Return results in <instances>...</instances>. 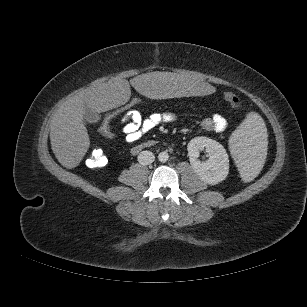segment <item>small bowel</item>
<instances>
[{
  "instance_id": "c3829d8e",
  "label": "small bowel",
  "mask_w": 307,
  "mask_h": 307,
  "mask_svg": "<svg viewBox=\"0 0 307 307\" xmlns=\"http://www.w3.org/2000/svg\"><path fill=\"white\" fill-rule=\"evenodd\" d=\"M176 120V115L171 112H156L144 117L140 111L133 110L120 122V129L126 142L133 143L160 126L172 124ZM227 125V120L220 114L201 122L202 128L209 132H223Z\"/></svg>"
}]
</instances>
